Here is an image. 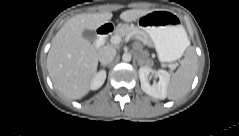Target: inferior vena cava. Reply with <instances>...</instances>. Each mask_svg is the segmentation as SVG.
I'll list each match as a JSON object with an SVG mask.
<instances>
[{"label": "inferior vena cava", "mask_w": 239, "mask_h": 136, "mask_svg": "<svg viewBox=\"0 0 239 136\" xmlns=\"http://www.w3.org/2000/svg\"><path fill=\"white\" fill-rule=\"evenodd\" d=\"M97 56L102 65H107L115 58L116 49L110 45L103 46L98 50Z\"/></svg>", "instance_id": "1"}]
</instances>
